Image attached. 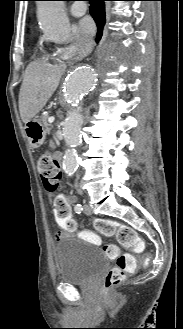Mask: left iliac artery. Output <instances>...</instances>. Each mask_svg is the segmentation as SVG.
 <instances>
[{"label": "left iliac artery", "mask_w": 183, "mask_h": 329, "mask_svg": "<svg viewBox=\"0 0 183 329\" xmlns=\"http://www.w3.org/2000/svg\"><path fill=\"white\" fill-rule=\"evenodd\" d=\"M74 210H75L76 213L80 214L82 212V210H83L82 205L81 204H77L75 206Z\"/></svg>", "instance_id": "obj_1"}]
</instances>
